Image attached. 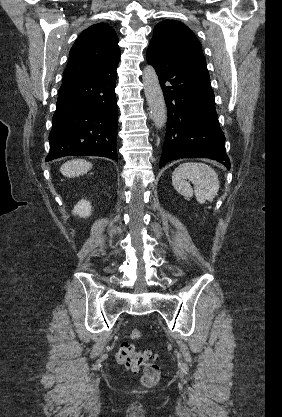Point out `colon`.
<instances>
[{"label":"colon","instance_id":"1","mask_svg":"<svg viewBox=\"0 0 282 417\" xmlns=\"http://www.w3.org/2000/svg\"><path fill=\"white\" fill-rule=\"evenodd\" d=\"M130 338L133 340H139L141 338V332L137 328H133L130 331ZM116 362L122 365L126 370L132 372H138L137 368L141 367L139 360L141 357H153L150 349L141 350V352L134 348V346L127 342H122L118 345L116 352ZM161 377V370L159 365H147L146 369L142 371L141 381L146 387L154 385Z\"/></svg>","mask_w":282,"mask_h":417}]
</instances>
